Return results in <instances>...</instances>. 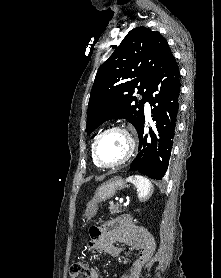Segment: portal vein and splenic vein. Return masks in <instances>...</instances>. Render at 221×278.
I'll return each mask as SVG.
<instances>
[{"instance_id":"1","label":"portal vein and splenic vein","mask_w":221,"mask_h":278,"mask_svg":"<svg viewBox=\"0 0 221 278\" xmlns=\"http://www.w3.org/2000/svg\"><path fill=\"white\" fill-rule=\"evenodd\" d=\"M119 202H120V203H123V199H120Z\"/></svg>"}]
</instances>
